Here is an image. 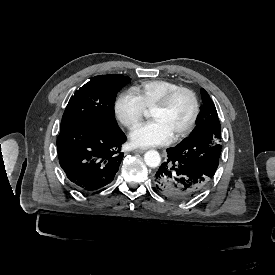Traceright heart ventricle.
Here are the masks:
<instances>
[{"label": "right heart ventricle", "instance_id": "1", "mask_svg": "<svg viewBox=\"0 0 275 275\" xmlns=\"http://www.w3.org/2000/svg\"><path fill=\"white\" fill-rule=\"evenodd\" d=\"M177 85L164 79L145 80L133 88V92L146 107L150 109L156 104L169 90Z\"/></svg>", "mask_w": 275, "mask_h": 275}]
</instances>
